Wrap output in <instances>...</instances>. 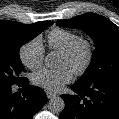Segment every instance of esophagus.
<instances>
[{
  "instance_id": "esophagus-1",
  "label": "esophagus",
  "mask_w": 119,
  "mask_h": 119,
  "mask_svg": "<svg viewBox=\"0 0 119 119\" xmlns=\"http://www.w3.org/2000/svg\"><path fill=\"white\" fill-rule=\"evenodd\" d=\"M46 95L48 99H52L57 96L55 93H52V92H47Z\"/></svg>"
}]
</instances>
